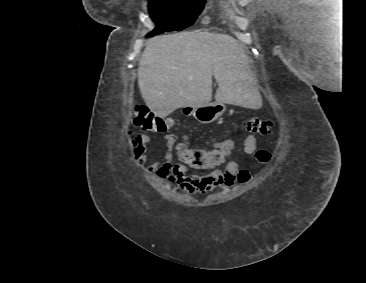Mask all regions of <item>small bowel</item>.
Segmentation results:
<instances>
[{
  "label": "small bowel",
  "instance_id": "c3829d8e",
  "mask_svg": "<svg viewBox=\"0 0 366 283\" xmlns=\"http://www.w3.org/2000/svg\"><path fill=\"white\" fill-rule=\"evenodd\" d=\"M164 139L167 148L165 155L161 160L146 167V171L155 177L178 186L182 192L190 195L204 194L215 189L230 188L237 181L238 175L241 172L239 162L231 160L226 163L224 170L216 169L217 166L224 163L225 157L228 154L224 152L222 146L211 150L216 162L204 168L210 170V172L199 174L191 172L183 164H175L173 162L177 136L175 134H167L164 136ZM149 142L150 137L147 135L136 136L134 159L140 166L145 165L147 162L149 154L146 146ZM256 149L257 139L253 134L248 133L243 142V151L248 155H253Z\"/></svg>",
  "mask_w": 366,
  "mask_h": 283
}]
</instances>
